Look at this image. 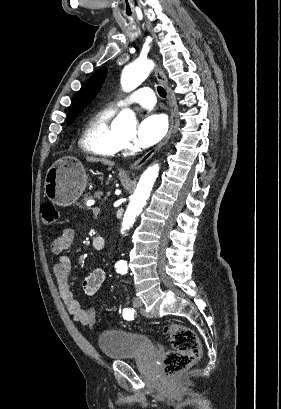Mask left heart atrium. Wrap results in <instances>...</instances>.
Here are the masks:
<instances>
[{"mask_svg":"<svg viewBox=\"0 0 281 409\" xmlns=\"http://www.w3.org/2000/svg\"><path fill=\"white\" fill-rule=\"evenodd\" d=\"M167 122L161 114L148 115L139 124L133 142L139 147L148 148L158 143L165 135Z\"/></svg>","mask_w":281,"mask_h":409,"instance_id":"39dd6f15","label":"left heart atrium"}]
</instances>
